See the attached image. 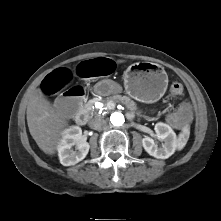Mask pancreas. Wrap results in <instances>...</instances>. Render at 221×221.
Wrapping results in <instances>:
<instances>
[{
  "mask_svg": "<svg viewBox=\"0 0 221 221\" xmlns=\"http://www.w3.org/2000/svg\"><path fill=\"white\" fill-rule=\"evenodd\" d=\"M110 101L124 104L130 111L136 113L137 115H140L141 113V111L138 110L136 103L128 96L114 95L103 100L105 104H107ZM94 102L95 100L93 99L90 100L87 104H85V110L87 111L88 114L95 113V109L93 108Z\"/></svg>",
  "mask_w": 221,
  "mask_h": 221,
  "instance_id": "cf45deb5",
  "label": "pancreas"
}]
</instances>
